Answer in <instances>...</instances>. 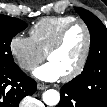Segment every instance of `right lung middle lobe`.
Returning <instances> with one entry per match:
<instances>
[{
    "instance_id": "dd1d6c3e",
    "label": "right lung middle lobe",
    "mask_w": 107,
    "mask_h": 107,
    "mask_svg": "<svg viewBox=\"0 0 107 107\" xmlns=\"http://www.w3.org/2000/svg\"><path fill=\"white\" fill-rule=\"evenodd\" d=\"M26 27L27 24L24 21L0 15V69L16 65L10 49L11 40Z\"/></svg>"
}]
</instances>
